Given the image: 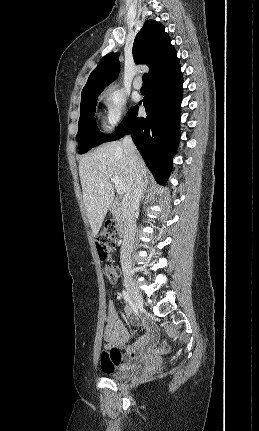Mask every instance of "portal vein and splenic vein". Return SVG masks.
Segmentation results:
<instances>
[{"label":"portal vein and splenic vein","mask_w":259,"mask_h":431,"mask_svg":"<svg viewBox=\"0 0 259 431\" xmlns=\"http://www.w3.org/2000/svg\"><path fill=\"white\" fill-rule=\"evenodd\" d=\"M111 181L115 184L118 194H124L125 193V187L122 184V182L119 180L118 177H116V176L112 177Z\"/></svg>","instance_id":"1"}]
</instances>
